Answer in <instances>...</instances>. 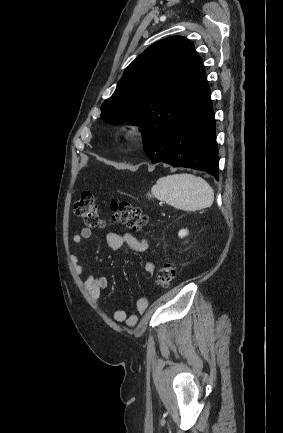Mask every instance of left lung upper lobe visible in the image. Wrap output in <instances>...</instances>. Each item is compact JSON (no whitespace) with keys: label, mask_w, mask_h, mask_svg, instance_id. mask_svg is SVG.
<instances>
[{"label":"left lung upper lobe","mask_w":283,"mask_h":433,"mask_svg":"<svg viewBox=\"0 0 283 433\" xmlns=\"http://www.w3.org/2000/svg\"><path fill=\"white\" fill-rule=\"evenodd\" d=\"M204 66L194 45L181 36L148 47L125 70L114 94L101 106L102 119L148 131L196 114L202 107Z\"/></svg>","instance_id":"5c2ea615"}]
</instances>
